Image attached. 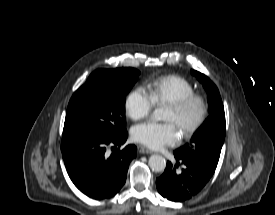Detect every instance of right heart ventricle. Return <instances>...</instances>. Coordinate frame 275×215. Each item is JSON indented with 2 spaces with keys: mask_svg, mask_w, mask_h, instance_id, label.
Returning a JSON list of instances; mask_svg holds the SVG:
<instances>
[{
  "mask_svg": "<svg viewBox=\"0 0 275 215\" xmlns=\"http://www.w3.org/2000/svg\"><path fill=\"white\" fill-rule=\"evenodd\" d=\"M147 93L154 104H168L194 93V87L185 78L169 74L157 77L147 85Z\"/></svg>",
  "mask_w": 275,
  "mask_h": 215,
  "instance_id": "right-heart-ventricle-1",
  "label": "right heart ventricle"
}]
</instances>
